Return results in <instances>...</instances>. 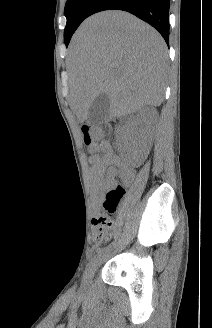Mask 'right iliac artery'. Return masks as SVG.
Returning <instances> with one entry per match:
<instances>
[{
  "instance_id": "right-iliac-artery-1",
  "label": "right iliac artery",
  "mask_w": 212,
  "mask_h": 328,
  "mask_svg": "<svg viewBox=\"0 0 212 328\" xmlns=\"http://www.w3.org/2000/svg\"><path fill=\"white\" fill-rule=\"evenodd\" d=\"M111 245L105 248L98 249L96 253L91 258L90 262L87 265V268L85 270L84 277L86 276L87 272L90 270L91 267L95 265V263L106 253L111 249Z\"/></svg>"
}]
</instances>
